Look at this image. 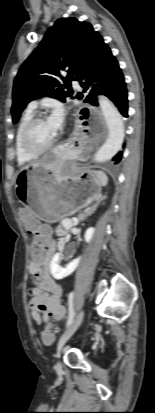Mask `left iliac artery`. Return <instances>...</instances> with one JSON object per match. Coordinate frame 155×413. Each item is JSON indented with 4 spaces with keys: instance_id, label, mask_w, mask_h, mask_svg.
Listing matches in <instances>:
<instances>
[{
    "instance_id": "1",
    "label": "left iliac artery",
    "mask_w": 155,
    "mask_h": 413,
    "mask_svg": "<svg viewBox=\"0 0 155 413\" xmlns=\"http://www.w3.org/2000/svg\"><path fill=\"white\" fill-rule=\"evenodd\" d=\"M73 297H74V293L71 292L69 294V315H68V320H67V326H69L74 318V310H73Z\"/></svg>"
}]
</instances>
